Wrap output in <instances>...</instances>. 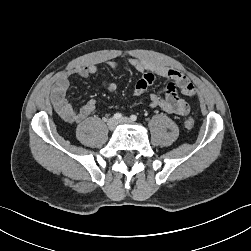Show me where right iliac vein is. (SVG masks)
I'll return each instance as SVG.
<instances>
[{"label":"right iliac vein","instance_id":"1","mask_svg":"<svg viewBox=\"0 0 251 251\" xmlns=\"http://www.w3.org/2000/svg\"><path fill=\"white\" fill-rule=\"evenodd\" d=\"M118 123H119L118 120H116L115 118H110L107 122V126L109 130H114L118 125Z\"/></svg>","mask_w":251,"mask_h":251}]
</instances>
